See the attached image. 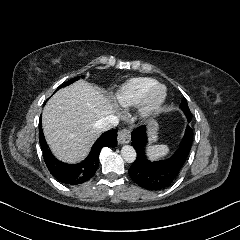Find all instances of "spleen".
I'll list each match as a JSON object with an SVG mask.
<instances>
[{
	"mask_svg": "<svg viewBox=\"0 0 240 240\" xmlns=\"http://www.w3.org/2000/svg\"><path fill=\"white\" fill-rule=\"evenodd\" d=\"M169 153L167 145H153L146 148V154L151 161L158 160Z\"/></svg>",
	"mask_w": 240,
	"mask_h": 240,
	"instance_id": "obj_1",
	"label": "spleen"
}]
</instances>
